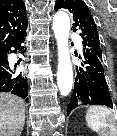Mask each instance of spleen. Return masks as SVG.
<instances>
[{
    "mask_svg": "<svg viewBox=\"0 0 117 136\" xmlns=\"http://www.w3.org/2000/svg\"><path fill=\"white\" fill-rule=\"evenodd\" d=\"M116 121L112 111L104 106H92L86 112L88 127L102 136H116Z\"/></svg>",
    "mask_w": 117,
    "mask_h": 136,
    "instance_id": "obj_1",
    "label": "spleen"
}]
</instances>
